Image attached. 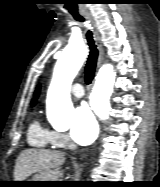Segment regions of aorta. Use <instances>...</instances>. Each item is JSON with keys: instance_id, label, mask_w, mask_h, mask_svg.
<instances>
[{"instance_id": "aorta-1", "label": "aorta", "mask_w": 160, "mask_h": 187, "mask_svg": "<svg viewBox=\"0 0 160 187\" xmlns=\"http://www.w3.org/2000/svg\"><path fill=\"white\" fill-rule=\"evenodd\" d=\"M86 54L83 43L71 42L57 60L47 94V114L50 121L53 122L73 109L70 96L71 85L84 63ZM115 78L116 72L111 64L102 66L96 76L90 105L102 120L109 118V99L113 92Z\"/></svg>"}]
</instances>
